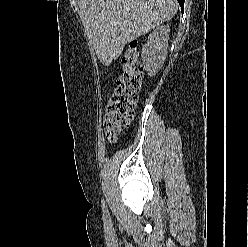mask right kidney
<instances>
[{
  "mask_svg": "<svg viewBox=\"0 0 248 247\" xmlns=\"http://www.w3.org/2000/svg\"><path fill=\"white\" fill-rule=\"evenodd\" d=\"M169 25L158 26L148 37L142 48V61L150 76H154L162 67L168 49Z\"/></svg>",
  "mask_w": 248,
  "mask_h": 247,
  "instance_id": "obj_1",
  "label": "right kidney"
}]
</instances>
